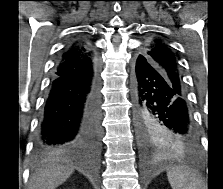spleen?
Listing matches in <instances>:
<instances>
[{
    "mask_svg": "<svg viewBox=\"0 0 223 189\" xmlns=\"http://www.w3.org/2000/svg\"><path fill=\"white\" fill-rule=\"evenodd\" d=\"M172 189H200L196 174L184 166L173 167L167 172Z\"/></svg>",
    "mask_w": 223,
    "mask_h": 189,
    "instance_id": "obj_1",
    "label": "spleen"
}]
</instances>
